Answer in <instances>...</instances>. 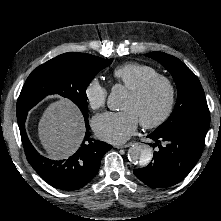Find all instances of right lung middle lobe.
<instances>
[{"label": "right lung middle lobe", "instance_id": "1", "mask_svg": "<svg viewBox=\"0 0 221 221\" xmlns=\"http://www.w3.org/2000/svg\"><path fill=\"white\" fill-rule=\"evenodd\" d=\"M113 59L70 53L40 65L27 78L17 101V118L27 113L45 96L59 94L72 100L88 120L86 88L95 75Z\"/></svg>", "mask_w": 221, "mask_h": 221}]
</instances>
